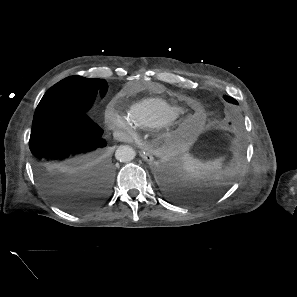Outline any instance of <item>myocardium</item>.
<instances>
[{
	"mask_svg": "<svg viewBox=\"0 0 297 297\" xmlns=\"http://www.w3.org/2000/svg\"><path fill=\"white\" fill-rule=\"evenodd\" d=\"M171 123H172V122H171ZM171 123H168V124H165V125L158 126L157 128H162V127H164V126H166V125H169V124H171Z\"/></svg>",
	"mask_w": 297,
	"mask_h": 297,
	"instance_id": "obj_1",
	"label": "myocardium"
}]
</instances>
